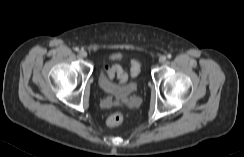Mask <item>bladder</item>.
Here are the masks:
<instances>
[{
  "mask_svg": "<svg viewBox=\"0 0 244 157\" xmlns=\"http://www.w3.org/2000/svg\"><path fill=\"white\" fill-rule=\"evenodd\" d=\"M98 81H99V86L103 92L118 98H125L129 96L131 93H133L136 90L137 87V84L135 82H130L123 86H117L107 77L105 64L101 66Z\"/></svg>",
  "mask_w": 244,
  "mask_h": 157,
  "instance_id": "1",
  "label": "bladder"
}]
</instances>
